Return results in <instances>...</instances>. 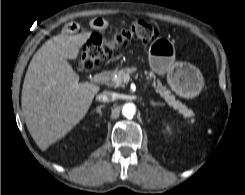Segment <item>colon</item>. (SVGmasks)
I'll return each instance as SVG.
<instances>
[{"label": "colon", "mask_w": 245, "mask_h": 195, "mask_svg": "<svg viewBox=\"0 0 245 195\" xmlns=\"http://www.w3.org/2000/svg\"><path fill=\"white\" fill-rule=\"evenodd\" d=\"M157 35L158 31L144 20H136L106 39L95 35L83 47L76 62V68L81 72L89 71L108 59L119 46L134 39L149 43Z\"/></svg>", "instance_id": "obj_1"}]
</instances>
